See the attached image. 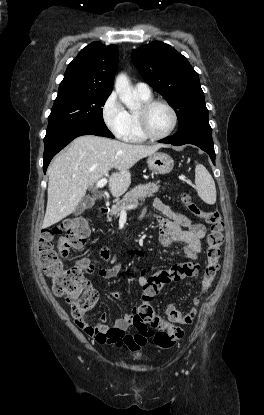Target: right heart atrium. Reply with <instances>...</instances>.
<instances>
[{
    "label": "right heart atrium",
    "mask_w": 264,
    "mask_h": 415,
    "mask_svg": "<svg viewBox=\"0 0 264 415\" xmlns=\"http://www.w3.org/2000/svg\"><path fill=\"white\" fill-rule=\"evenodd\" d=\"M102 117L115 136L122 137L124 135L128 126V114L116 92L110 93L103 103Z\"/></svg>",
    "instance_id": "right-heart-atrium-1"
}]
</instances>
